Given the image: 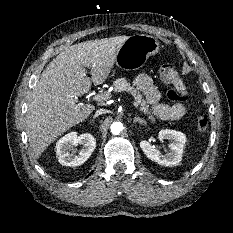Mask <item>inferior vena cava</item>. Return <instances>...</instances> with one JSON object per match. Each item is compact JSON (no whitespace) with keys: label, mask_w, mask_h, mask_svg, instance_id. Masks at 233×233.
<instances>
[{"label":"inferior vena cava","mask_w":233,"mask_h":233,"mask_svg":"<svg viewBox=\"0 0 233 233\" xmlns=\"http://www.w3.org/2000/svg\"><path fill=\"white\" fill-rule=\"evenodd\" d=\"M103 113H106V110H104V109H99V110L96 111L95 116L101 115V114H103Z\"/></svg>","instance_id":"602c4592"}]
</instances>
